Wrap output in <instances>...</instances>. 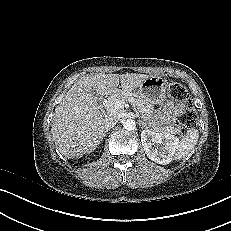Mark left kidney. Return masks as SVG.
Returning <instances> with one entry per match:
<instances>
[{
	"mask_svg": "<svg viewBox=\"0 0 231 231\" xmlns=\"http://www.w3.org/2000/svg\"><path fill=\"white\" fill-rule=\"evenodd\" d=\"M141 142L147 157L162 165L169 164L179 143V138L166 132L143 130Z\"/></svg>",
	"mask_w": 231,
	"mask_h": 231,
	"instance_id": "obj_1",
	"label": "left kidney"
}]
</instances>
